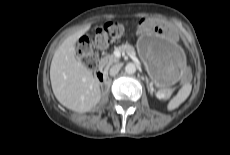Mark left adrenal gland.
<instances>
[{
	"label": "left adrenal gland",
	"instance_id": "left-adrenal-gland-1",
	"mask_svg": "<svg viewBox=\"0 0 230 155\" xmlns=\"http://www.w3.org/2000/svg\"><path fill=\"white\" fill-rule=\"evenodd\" d=\"M146 83H147L148 91H150V93H152V90H150V88H149V84H148V79L147 78H146Z\"/></svg>",
	"mask_w": 230,
	"mask_h": 155
}]
</instances>
